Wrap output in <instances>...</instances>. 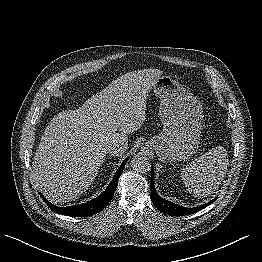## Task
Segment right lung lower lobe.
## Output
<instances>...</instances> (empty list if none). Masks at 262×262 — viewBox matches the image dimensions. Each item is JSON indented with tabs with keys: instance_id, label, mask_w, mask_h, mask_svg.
I'll return each instance as SVG.
<instances>
[{
	"instance_id": "98d812e1",
	"label": "right lung lower lobe",
	"mask_w": 262,
	"mask_h": 262,
	"mask_svg": "<svg viewBox=\"0 0 262 262\" xmlns=\"http://www.w3.org/2000/svg\"><path fill=\"white\" fill-rule=\"evenodd\" d=\"M125 162L126 160L120 165L119 169L117 170L115 176L113 177L107 189L101 195L87 203L69 207H58L48 202L41 193L40 196L49 206V208L56 213L72 217H87L94 215L100 212L102 209H104L111 201L118 184V179L124 169Z\"/></svg>"
}]
</instances>
